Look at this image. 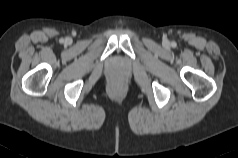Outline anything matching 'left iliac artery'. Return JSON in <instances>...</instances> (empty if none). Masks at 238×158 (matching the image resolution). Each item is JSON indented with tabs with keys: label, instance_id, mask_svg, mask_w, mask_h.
Instances as JSON below:
<instances>
[{
	"label": "left iliac artery",
	"instance_id": "1",
	"mask_svg": "<svg viewBox=\"0 0 238 158\" xmlns=\"http://www.w3.org/2000/svg\"><path fill=\"white\" fill-rule=\"evenodd\" d=\"M172 46H175V43H174V42L172 43Z\"/></svg>",
	"mask_w": 238,
	"mask_h": 158
}]
</instances>
